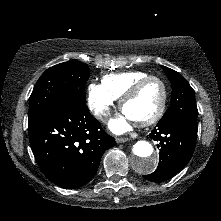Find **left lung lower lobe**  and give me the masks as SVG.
<instances>
[{
    "instance_id": "0a47b994",
    "label": "left lung lower lobe",
    "mask_w": 221,
    "mask_h": 221,
    "mask_svg": "<svg viewBox=\"0 0 221 221\" xmlns=\"http://www.w3.org/2000/svg\"><path fill=\"white\" fill-rule=\"evenodd\" d=\"M149 136L159 142V165L155 172L143 177L151 182H163L185 167L193 154L197 131L180 121H159Z\"/></svg>"
}]
</instances>
